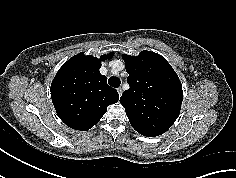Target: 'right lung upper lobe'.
Segmentation results:
<instances>
[{
	"label": "right lung upper lobe",
	"instance_id": "right-lung-upper-lobe-1",
	"mask_svg": "<svg viewBox=\"0 0 236 178\" xmlns=\"http://www.w3.org/2000/svg\"><path fill=\"white\" fill-rule=\"evenodd\" d=\"M83 53L70 58L57 72L51 84V98L59 118L69 127L86 131L119 100L118 92L107 85L100 74L101 60Z\"/></svg>",
	"mask_w": 236,
	"mask_h": 178
}]
</instances>
